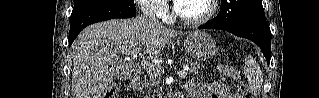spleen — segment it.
<instances>
[{"instance_id": "spleen-1", "label": "spleen", "mask_w": 319, "mask_h": 98, "mask_svg": "<svg viewBox=\"0 0 319 98\" xmlns=\"http://www.w3.org/2000/svg\"><path fill=\"white\" fill-rule=\"evenodd\" d=\"M244 75L249 83L251 92L254 95L259 94L263 82L262 71L251 55H248L245 58Z\"/></svg>"}]
</instances>
